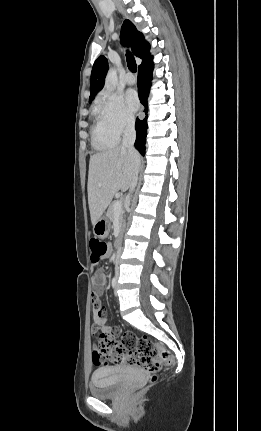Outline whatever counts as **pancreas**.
Returning a JSON list of instances; mask_svg holds the SVG:
<instances>
[{
	"instance_id": "obj_1",
	"label": "pancreas",
	"mask_w": 261,
	"mask_h": 431,
	"mask_svg": "<svg viewBox=\"0 0 261 431\" xmlns=\"http://www.w3.org/2000/svg\"><path fill=\"white\" fill-rule=\"evenodd\" d=\"M115 202L116 201H113L112 203H110L108 210H107V213H106V215L110 221H114V218H115V210H114ZM122 215H123V210L121 208V210L119 211V214H118L119 222L122 221Z\"/></svg>"
}]
</instances>
